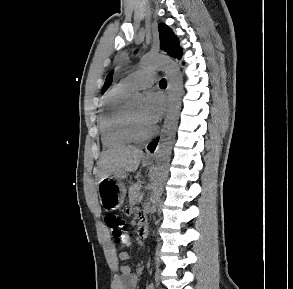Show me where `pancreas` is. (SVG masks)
<instances>
[{
    "instance_id": "1",
    "label": "pancreas",
    "mask_w": 293,
    "mask_h": 289,
    "mask_svg": "<svg viewBox=\"0 0 293 289\" xmlns=\"http://www.w3.org/2000/svg\"><path fill=\"white\" fill-rule=\"evenodd\" d=\"M141 196V182L133 184L129 188V199L131 201H137Z\"/></svg>"
}]
</instances>
